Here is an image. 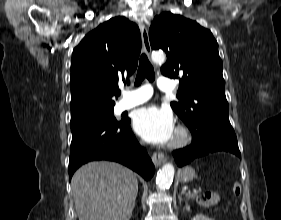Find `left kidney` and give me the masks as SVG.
Masks as SVG:
<instances>
[{"mask_svg": "<svg viewBox=\"0 0 281 220\" xmlns=\"http://www.w3.org/2000/svg\"><path fill=\"white\" fill-rule=\"evenodd\" d=\"M192 220H214L205 215H196L192 218Z\"/></svg>", "mask_w": 281, "mask_h": 220, "instance_id": "5707ae66", "label": "left kidney"}]
</instances>
